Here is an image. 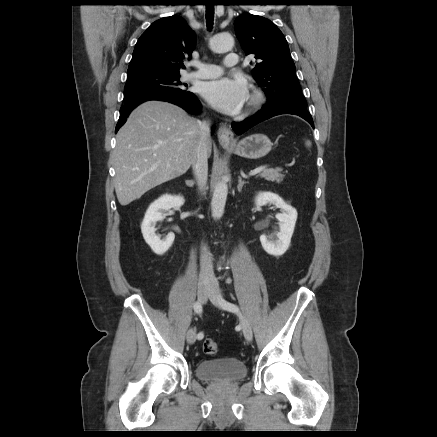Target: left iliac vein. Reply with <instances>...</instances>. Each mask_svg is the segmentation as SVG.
<instances>
[{
	"label": "left iliac vein",
	"instance_id": "4c4485c4",
	"mask_svg": "<svg viewBox=\"0 0 437 437\" xmlns=\"http://www.w3.org/2000/svg\"><path fill=\"white\" fill-rule=\"evenodd\" d=\"M219 297H220V291L216 288H213L209 295V299L214 305L222 307L219 303ZM240 323L245 339L248 342L252 341L253 338L252 328L247 318L240 315Z\"/></svg>",
	"mask_w": 437,
	"mask_h": 437
}]
</instances>
